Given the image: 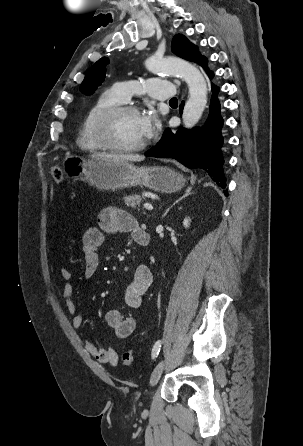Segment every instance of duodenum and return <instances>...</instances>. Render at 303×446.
Instances as JSON below:
<instances>
[{"instance_id": "410a0bca", "label": "duodenum", "mask_w": 303, "mask_h": 446, "mask_svg": "<svg viewBox=\"0 0 303 446\" xmlns=\"http://www.w3.org/2000/svg\"><path fill=\"white\" fill-rule=\"evenodd\" d=\"M137 243L140 245H148L149 244V235L147 232L143 231L137 236Z\"/></svg>"}]
</instances>
